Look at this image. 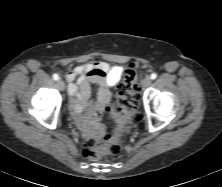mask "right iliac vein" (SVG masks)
Segmentation results:
<instances>
[{
	"label": "right iliac vein",
	"instance_id": "right-iliac-vein-1",
	"mask_svg": "<svg viewBox=\"0 0 222 187\" xmlns=\"http://www.w3.org/2000/svg\"><path fill=\"white\" fill-rule=\"evenodd\" d=\"M57 84H58V87H59L61 90H64V89H65V83H64L63 80H58Z\"/></svg>",
	"mask_w": 222,
	"mask_h": 187
}]
</instances>
